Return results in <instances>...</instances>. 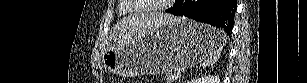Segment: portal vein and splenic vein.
<instances>
[{
	"label": "portal vein and splenic vein",
	"mask_w": 307,
	"mask_h": 83,
	"mask_svg": "<svg viewBox=\"0 0 307 83\" xmlns=\"http://www.w3.org/2000/svg\"><path fill=\"white\" fill-rule=\"evenodd\" d=\"M180 76H181V75L178 74V73L175 75L176 78H180Z\"/></svg>",
	"instance_id": "portal-vein-and-splenic-vein-1"
}]
</instances>
